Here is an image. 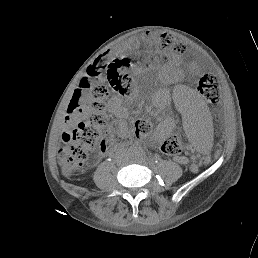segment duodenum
Here are the masks:
<instances>
[{"mask_svg":"<svg viewBox=\"0 0 258 258\" xmlns=\"http://www.w3.org/2000/svg\"><path fill=\"white\" fill-rule=\"evenodd\" d=\"M117 150H116V153L121 151L124 147H120V144L117 145V146H114Z\"/></svg>","mask_w":258,"mask_h":258,"instance_id":"1","label":"duodenum"}]
</instances>
